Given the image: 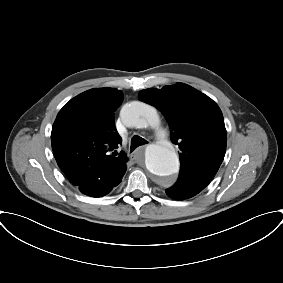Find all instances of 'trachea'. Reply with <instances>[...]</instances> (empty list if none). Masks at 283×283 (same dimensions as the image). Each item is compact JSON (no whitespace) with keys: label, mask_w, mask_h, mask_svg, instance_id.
Returning <instances> with one entry per match:
<instances>
[{"label":"trachea","mask_w":283,"mask_h":283,"mask_svg":"<svg viewBox=\"0 0 283 283\" xmlns=\"http://www.w3.org/2000/svg\"><path fill=\"white\" fill-rule=\"evenodd\" d=\"M148 141H146L144 138L134 135L131 139V146H130V152H133L137 147L141 145L147 144Z\"/></svg>","instance_id":"1"}]
</instances>
